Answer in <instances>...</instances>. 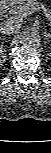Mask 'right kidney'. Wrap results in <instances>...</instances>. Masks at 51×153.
I'll list each match as a JSON object with an SVG mask.
<instances>
[{"instance_id": "obj_1", "label": "right kidney", "mask_w": 51, "mask_h": 153, "mask_svg": "<svg viewBox=\"0 0 51 153\" xmlns=\"http://www.w3.org/2000/svg\"><path fill=\"white\" fill-rule=\"evenodd\" d=\"M0 52H1V58H3L4 57L3 49H1Z\"/></svg>"}]
</instances>
